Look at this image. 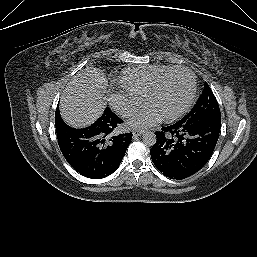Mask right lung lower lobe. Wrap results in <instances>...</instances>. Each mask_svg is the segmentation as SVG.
<instances>
[{"instance_id":"obj_1","label":"right lung lower lobe","mask_w":257,"mask_h":257,"mask_svg":"<svg viewBox=\"0 0 257 257\" xmlns=\"http://www.w3.org/2000/svg\"><path fill=\"white\" fill-rule=\"evenodd\" d=\"M123 122L110 109L91 126L74 129L64 123L56 125L60 150L67 162L81 175L101 179L120 165L132 139V133L115 135Z\"/></svg>"}]
</instances>
